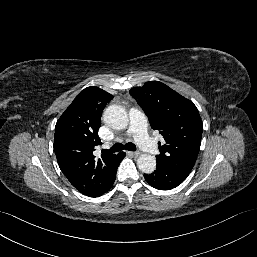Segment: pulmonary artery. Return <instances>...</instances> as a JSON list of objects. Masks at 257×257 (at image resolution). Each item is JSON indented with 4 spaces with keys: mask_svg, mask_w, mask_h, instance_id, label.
<instances>
[{
    "mask_svg": "<svg viewBox=\"0 0 257 257\" xmlns=\"http://www.w3.org/2000/svg\"><path fill=\"white\" fill-rule=\"evenodd\" d=\"M146 117L138 108L130 110V124L128 133L133 134L139 146L147 153L154 155L157 153V145L147 134Z\"/></svg>",
    "mask_w": 257,
    "mask_h": 257,
    "instance_id": "obj_1",
    "label": "pulmonary artery"
}]
</instances>
